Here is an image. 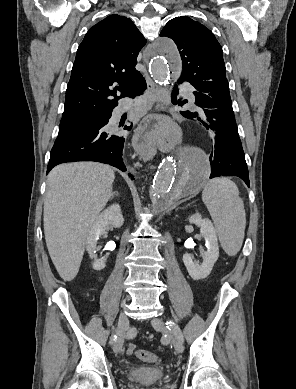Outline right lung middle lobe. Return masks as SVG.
Here are the masks:
<instances>
[{"label":"right lung middle lobe","instance_id":"obj_1","mask_svg":"<svg viewBox=\"0 0 296 389\" xmlns=\"http://www.w3.org/2000/svg\"><path fill=\"white\" fill-rule=\"evenodd\" d=\"M104 115H83L62 118L59 125L58 137L86 130L95 126Z\"/></svg>","mask_w":296,"mask_h":389}]
</instances>
